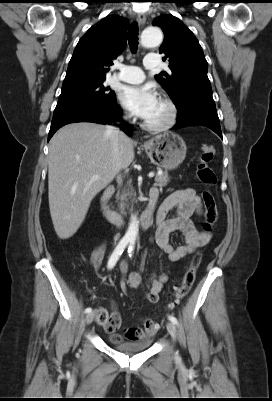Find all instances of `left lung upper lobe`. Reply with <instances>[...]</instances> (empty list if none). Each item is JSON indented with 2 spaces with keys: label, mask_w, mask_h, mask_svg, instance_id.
<instances>
[{
  "label": "left lung upper lobe",
  "mask_w": 272,
  "mask_h": 401,
  "mask_svg": "<svg viewBox=\"0 0 272 401\" xmlns=\"http://www.w3.org/2000/svg\"><path fill=\"white\" fill-rule=\"evenodd\" d=\"M164 34L160 53L169 62L170 73L156 75V80L170 95L177 109L193 100H210L212 89L207 76L208 64L193 32L172 15H162L153 20Z\"/></svg>",
  "instance_id": "obj_1"
}]
</instances>
